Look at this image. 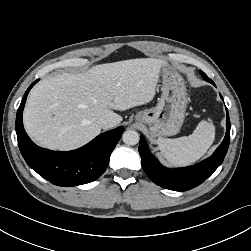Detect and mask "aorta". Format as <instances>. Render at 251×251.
<instances>
[{
	"instance_id": "762f6f07",
	"label": "aorta",
	"mask_w": 251,
	"mask_h": 251,
	"mask_svg": "<svg viewBox=\"0 0 251 251\" xmlns=\"http://www.w3.org/2000/svg\"><path fill=\"white\" fill-rule=\"evenodd\" d=\"M122 139L127 145H136L139 142L140 136L135 130H127L123 133Z\"/></svg>"
}]
</instances>
